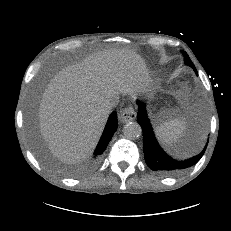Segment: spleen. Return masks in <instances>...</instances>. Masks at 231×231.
<instances>
[{
  "label": "spleen",
  "mask_w": 231,
  "mask_h": 231,
  "mask_svg": "<svg viewBox=\"0 0 231 231\" xmlns=\"http://www.w3.org/2000/svg\"><path fill=\"white\" fill-rule=\"evenodd\" d=\"M187 121L185 117L174 118L155 127V133L163 145L175 143L185 132Z\"/></svg>",
  "instance_id": "spleen-1"
}]
</instances>
